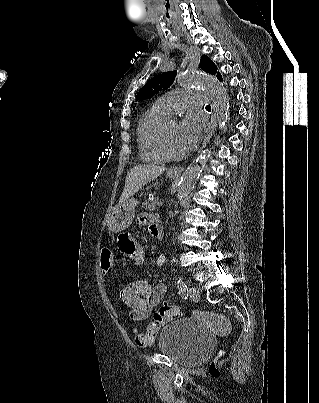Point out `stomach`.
<instances>
[{"mask_svg":"<svg viewBox=\"0 0 319 403\" xmlns=\"http://www.w3.org/2000/svg\"><path fill=\"white\" fill-rule=\"evenodd\" d=\"M168 177L174 179L176 176L168 174ZM138 203L137 200L132 198L114 207L108 218L107 225L109 231L118 233L127 229L135 217V207Z\"/></svg>","mask_w":319,"mask_h":403,"instance_id":"1","label":"stomach"}]
</instances>
